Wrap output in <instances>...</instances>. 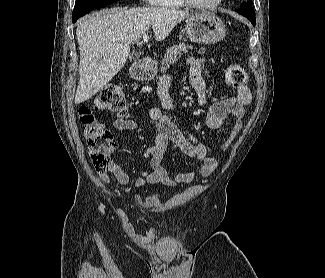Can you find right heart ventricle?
<instances>
[{
	"instance_id": "obj_1",
	"label": "right heart ventricle",
	"mask_w": 325,
	"mask_h": 278,
	"mask_svg": "<svg viewBox=\"0 0 325 278\" xmlns=\"http://www.w3.org/2000/svg\"><path fill=\"white\" fill-rule=\"evenodd\" d=\"M155 4L164 8H180L184 6L181 0H157Z\"/></svg>"
}]
</instances>
